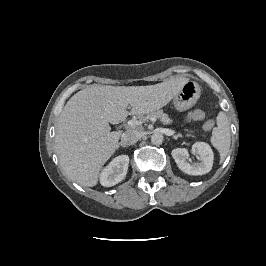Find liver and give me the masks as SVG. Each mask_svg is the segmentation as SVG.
<instances>
[{
  "label": "liver",
  "mask_w": 266,
  "mask_h": 266,
  "mask_svg": "<svg viewBox=\"0 0 266 266\" xmlns=\"http://www.w3.org/2000/svg\"><path fill=\"white\" fill-rule=\"evenodd\" d=\"M187 80L172 78L150 86L93 84L74 94L60 114L55 136L64 174L82 186H95L122 134L111 132L109 123L118 124L129 114L144 115L162 108ZM129 105L130 112L126 110Z\"/></svg>",
  "instance_id": "liver-1"
}]
</instances>
